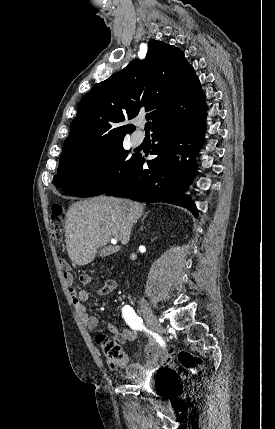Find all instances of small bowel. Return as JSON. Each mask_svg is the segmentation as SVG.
<instances>
[{
	"label": "small bowel",
	"instance_id": "c3829d8e",
	"mask_svg": "<svg viewBox=\"0 0 275 429\" xmlns=\"http://www.w3.org/2000/svg\"><path fill=\"white\" fill-rule=\"evenodd\" d=\"M64 279L67 285L69 286L73 305L79 314L83 324L89 330H95L98 327L99 321L98 318L94 315H90L86 309V301L88 299V293L85 290H76L73 286L74 276L73 273L68 270L64 272ZM92 278L89 274H80L79 281L82 284H89ZM116 289V282L114 280H107L99 289L100 295H108ZM110 332L117 335L120 339L125 341H134L136 340L138 334L134 329L129 328H120L116 324L110 323L108 325ZM146 363L144 365L139 363H132L128 365L124 372L125 375L129 378H138L158 369L159 367V357L161 353L160 344L149 338L144 347Z\"/></svg>",
	"mask_w": 275,
	"mask_h": 429
}]
</instances>
